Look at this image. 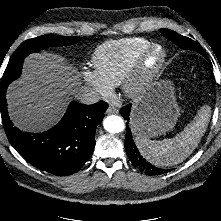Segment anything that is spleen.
Segmentation results:
<instances>
[{
  "label": "spleen",
  "instance_id": "1",
  "mask_svg": "<svg viewBox=\"0 0 221 221\" xmlns=\"http://www.w3.org/2000/svg\"><path fill=\"white\" fill-rule=\"evenodd\" d=\"M211 109L203 106L193 121L173 138L161 141L136 137V145L142 156L155 166H172L185 160L198 146L204 135Z\"/></svg>",
  "mask_w": 221,
  "mask_h": 221
}]
</instances>
